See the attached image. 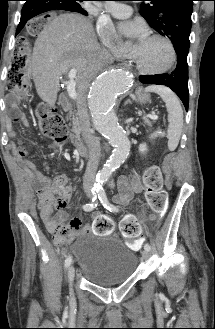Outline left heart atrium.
<instances>
[{
	"label": "left heart atrium",
	"mask_w": 215,
	"mask_h": 329,
	"mask_svg": "<svg viewBox=\"0 0 215 329\" xmlns=\"http://www.w3.org/2000/svg\"><path fill=\"white\" fill-rule=\"evenodd\" d=\"M121 33L128 38L135 39L136 46L143 45L148 39V31L141 21H127L120 25Z\"/></svg>",
	"instance_id": "left-heart-atrium-1"
}]
</instances>
